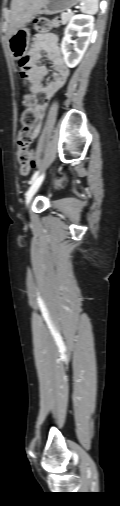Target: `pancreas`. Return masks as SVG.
<instances>
[{"instance_id":"1","label":"pancreas","mask_w":120,"mask_h":506,"mask_svg":"<svg viewBox=\"0 0 120 506\" xmlns=\"http://www.w3.org/2000/svg\"><path fill=\"white\" fill-rule=\"evenodd\" d=\"M72 18V13H62L61 14V23L64 25L68 23Z\"/></svg>"}]
</instances>
